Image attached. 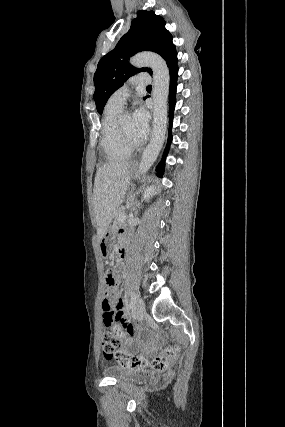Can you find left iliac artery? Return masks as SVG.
Listing matches in <instances>:
<instances>
[{
	"label": "left iliac artery",
	"mask_w": 285,
	"mask_h": 427,
	"mask_svg": "<svg viewBox=\"0 0 285 427\" xmlns=\"http://www.w3.org/2000/svg\"><path fill=\"white\" fill-rule=\"evenodd\" d=\"M136 298H137L136 293H135V292H132V293H131L130 303H129V305H128V310H130V309H132V308L134 307L135 302H136Z\"/></svg>",
	"instance_id": "1"
}]
</instances>
